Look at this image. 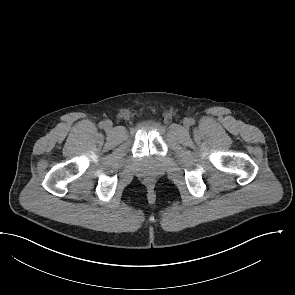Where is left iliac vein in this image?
I'll list each match as a JSON object with an SVG mask.
<instances>
[{"mask_svg": "<svg viewBox=\"0 0 295 295\" xmlns=\"http://www.w3.org/2000/svg\"><path fill=\"white\" fill-rule=\"evenodd\" d=\"M183 125H184L185 128H189V126L191 125L190 120L188 118H185L183 120Z\"/></svg>", "mask_w": 295, "mask_h": 295, "instance_id": "left-iliac-vein-1", "label": "left iliac vein"}]
</instances>
